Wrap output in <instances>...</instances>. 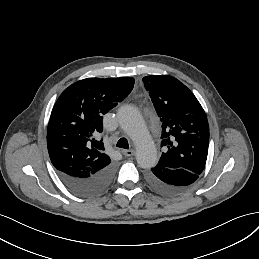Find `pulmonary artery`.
I'll use <instances>...</instances> for the list:
<instances>
[{
  "mask_svg": "<svg viewBox=\"0 0 259 259\" xmlns=\"http://www.w3.org/2000/svg\"><path fill=\"white\" fill-rule=\"evenodd\" d=\"M120 126L128 135L135 139L140 137L145 131L142 120L133 116L122 118L120 120Z\"/></svg>",
  "mask_w": 259,
  "mask_h": 259,
  "instance_id": "1",
  "label": "pulmonary artery"
}]
</instances>
